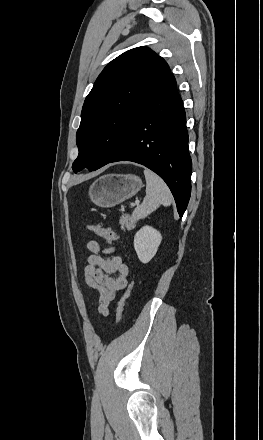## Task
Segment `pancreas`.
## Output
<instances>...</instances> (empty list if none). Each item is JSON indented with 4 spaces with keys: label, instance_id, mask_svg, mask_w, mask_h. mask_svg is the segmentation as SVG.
Instances as JSON below:
<instances>
[{
    "label": "pancreas",
    "instance_id": "1",
    "mask_svg": "<svg viewBox=\"0 0 263 440\" xmlns=\"http://www.w3.org/2000/svg\"><path fill=\"white\" fill-rule=\"evenodd\" d=\"M119 222L122 229L126 227L128 230H131L135 227V222L131 220L128 214L122 215Z\"/></svg>",
    "mask_w": 263,
    "mask_h": 440
}]
</instances>
